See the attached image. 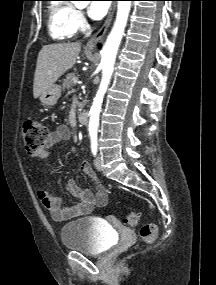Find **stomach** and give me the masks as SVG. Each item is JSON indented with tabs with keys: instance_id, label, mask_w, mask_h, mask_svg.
I'll return each mask as SVG.
<instances>
[{
	"instance_id": "obj_1",
	"label": "stomach",
	"mask_w": 216,
	"mask_h": 285,
	"mask_svg": "<svg viewBox=\"0 0 216 285\" xmlns=\"http://www.w3.org/2000/svg\"><path fill=\"white\" fill-rule=\"evenodd\" d=\"M61 96V87L58 84H53L49 89L40 95V101L45 106H53L57 103Z\"/></svg>"
}]
</instances>
